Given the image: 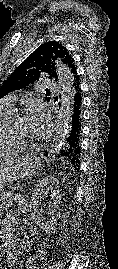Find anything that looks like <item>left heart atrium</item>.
<instances>
[{"instance_id": "39dd6f15", "label": "left heart atrium", "mask_w": 118, "mask_h": 269, "mask_svg": "<svg viewBox=\"0 0 118 269\" xmlns=\"http://www.w3.org/2000/svg\"><path fill=\"white\" fill-rule=\"evenodd\" d=\"M25 117L34 137H41L48 131L50 116L43 104L39 102L30 103Z\"/></svg>"}]
</instances>
